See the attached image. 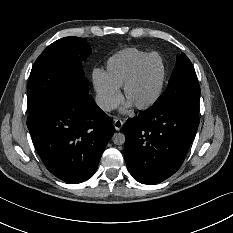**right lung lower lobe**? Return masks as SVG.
I'll use <instances>...</instances> for the list:
<instances>
[{
	"mask_svg": "<svg viewBox=\"0 0 233 233\" xmlns=\"http://www.w3.org/2000/svg\"><path fill=\"white\" fill-rule=\"evenodd\" d=\"M88 91L72 86L27 120L46 168L67 183H80L94 174L114 132L113 120Z\"/></svg>",
	"mask_w": 233,
	"mask_h": 233,
	"instance_id": "right-lung-lower-lobe-1",
	"label": "right lung lower lobe"
}]
</instances>
